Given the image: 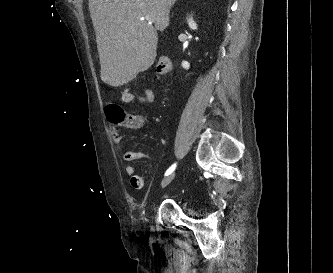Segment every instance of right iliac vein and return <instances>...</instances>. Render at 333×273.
<instances>
[{
    "instance_id": "obj_1",
    "label": "right iliac vein",
    "mask_w": 333,
    "mask_h": 273,
    "mask_svg": "<svg viewBox=\"0 0 333 273\" xmlns=\"http://www.w3.org/2000/svg\"><path fill=\"white\" fill-rule=\"evenodd\" d=\"M174 177H175V173H171L168 176H166L161 182V188H164L167 185H169L172 182V180L174 179ZM152 228L153 227L151 226V229Z\"/></svg>"
}]
</instances>
